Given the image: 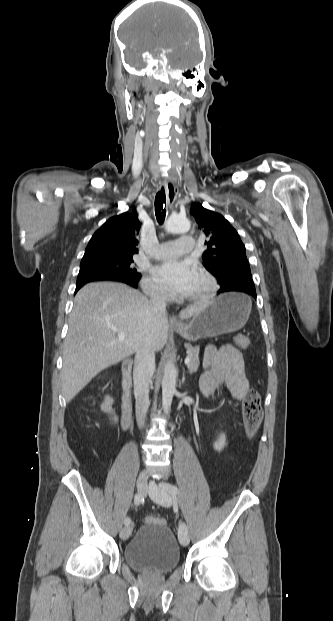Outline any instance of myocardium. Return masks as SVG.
Listing matches in <instances>:
<instances>
[{"label": "myocardium", "mask_w": 333, "mask_h": 621, "mask_svg": "<svg viewBox=\"0 0 333 621\" xmlns=\"http://www.w3.org/2000/svg\"><path fill=\"white\" fill-rule=\"evenodd\" d=\"M196 272L207 282V290L194 296H184L180 299L186 302H206L211 300L218 291V284L215 277L204 267H197Z\"/></svg>", "instance_id": "obj_1"}]
</instances>
